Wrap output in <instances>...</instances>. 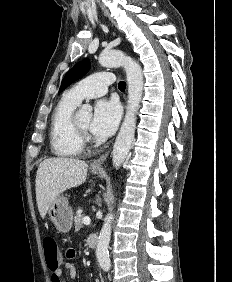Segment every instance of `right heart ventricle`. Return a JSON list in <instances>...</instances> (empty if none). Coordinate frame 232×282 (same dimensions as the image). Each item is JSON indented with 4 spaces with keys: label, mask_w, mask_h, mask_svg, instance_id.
<instances>
[{
    "label": "right heart ventricle",
    "mask_w": 232,
    "mask_h": 282,
    "mask_svg": "<svg viewBox=\"0 0 232 282\" xmlns=\"http://www.w3.org/2000/svg\"><path fill=\"white\" fill-rule=\"evenodd\" d=\"M79 103L65 93L52 112L50 146L52 153L58 157L76 156L82 150L83 143L77 137L72 125V115Z\"/></svg>",
    "instance_id": "obj_1"
}]
</instances>
